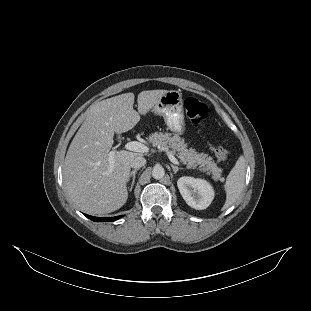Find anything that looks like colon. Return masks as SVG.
<instances>
[{"label":"colon","mask_w":311,"mask_h":311,"mask_svg":"<svg viewBox=\"0 0 311 311\" xmlns=\"http://www.w3.org/2000/svg\"><path fill=\"white\" fill-rule=\"evenodd\" d=\"M184 107L188 118L194 124L202 125L207 122L209 110L205 103L194 97H187L184 100ZM211 148L219 162L225 163L228 160V151L223 146L212 144Z\"/></svg>","instance_id":"obj_1"}]
</instances>
